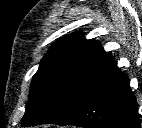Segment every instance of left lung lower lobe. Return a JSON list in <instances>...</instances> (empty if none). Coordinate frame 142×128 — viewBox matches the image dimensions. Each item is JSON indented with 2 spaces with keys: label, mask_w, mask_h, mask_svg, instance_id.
Listing matches in <instances>:
<instances>
[{
  "label": "left lung lower lobe",
  "mask_w": 142,
  "mask_h": 128,
  "mask_svg": "<svg viewBox=\"0 0 142 128\" xmlns=\"http://www.w3.org/2000/svg\"><path fill=\"white\" fill-rule=\"evenodd\" d=\"M136 104L129 79L114 60L80 93L66 117L52 124L85 128H139L141 124Z\"/></svg>",
  "instance_id": "left-lung-lower-lobe-1"
}]
</instances>
